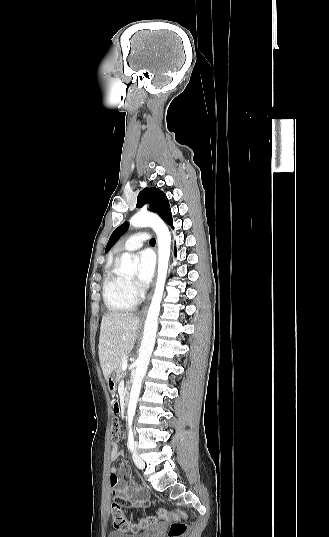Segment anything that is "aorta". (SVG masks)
<instances>
[{"label": "aorta", "mask_w": 329, "mask_h": 537, "mask_svg": "<svg viewBox=\"0 0 329 537\" xmlns=\"http://www.w3.org/2000/svg\"><path fill=\"white\" fill-rule=\"evenodd\" d=\"M130 225L136 228L150 226L154 229L158 238L157 242L159 260L155 291L152 296V300L145 321L143 339L139 349V356L135 361L136 369L127 410L129 426H131L133 422L136 405L142 386V380L145 376L150 356L155 344L160 304L167 278L168 264L171 252L170 231L166 224L163 222V220L158 216L151 213L139 212L131 218ZM136 264V258H132L130 254L124 253L121 258L120 271L124 273H133L136 268Z\"/></svg>", "instance_id": "762f6f07"}]
</instances>
